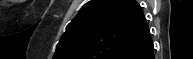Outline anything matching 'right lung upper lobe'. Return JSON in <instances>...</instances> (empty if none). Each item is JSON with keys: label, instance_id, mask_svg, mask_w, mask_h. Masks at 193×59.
Listing matches in <instances>:
<instances>
[{"label": "right lung upper lobe", "instance_id": "obj_1", "mask_svg": "<svg viewBox=\"0 0 193 59\" xmlns=\"http://www.w3.org/2000/svg\"><path fill=\"white\" fill-rule=\"evenodd\" d=\"M150 40L135 0H91L67 25L53 59H125Z\"/></svg>", "mask_w": 193, "mask_h": 59}]
</instances>
